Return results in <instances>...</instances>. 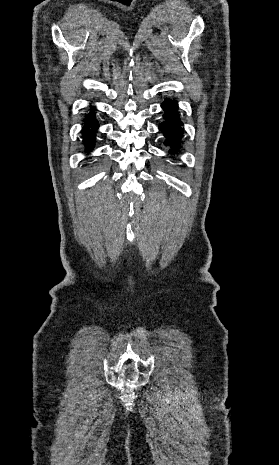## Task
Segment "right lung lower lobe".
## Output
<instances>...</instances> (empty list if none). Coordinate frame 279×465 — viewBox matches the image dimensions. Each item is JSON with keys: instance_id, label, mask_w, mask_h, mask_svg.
<instances>
[{"instance_id": "1", "label": "right lung lower lobe", "mask_w": 279, "mask_h": 465, "mask_svg": "<svg viewBox=\"0 0 279 465\" xmlns=\"http://www.w3.org/2000/svg\"><path fill=\"white\" fill-rule=\"evenodd\" d=\"M84 127L82 129V142L85 147V152L89 153L95 147L96 143V130L99 127L97 124L94 109L90 108V113L85 115Z\"/></svg>"}]
</instances>
